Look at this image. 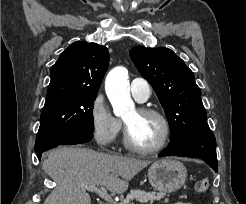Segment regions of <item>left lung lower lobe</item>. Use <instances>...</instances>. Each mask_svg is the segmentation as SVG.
Wrapping results in <instances>:
<instances>
[{
  "label": "left lung lower lobe",
  "mask_w": 246,
  "mask_h": 204,
  "mask_svg": "<svg viewBox=\"0 0 246 204\" xmlns=\"http://www.w3.org/2000/svg\"><path fill=\"white\" fill-rule=\"evenodd\" d=\"M163 156L197 157L209 164L215 172L218 171L216 139L209 127L172 140L168 148L159 154V157Z\"/></svg>",
  "instance_id": "1"
}]
</instances>
